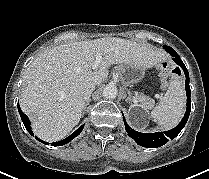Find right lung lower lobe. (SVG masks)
Instances as JSON below:
<instances>
[{
  "label": "right lung lower lobe",
  "instance_id": "98d812e1",
  "mask_svg": "<svg viewBox=\"0 0 209 179\" xmlns=\"http://www.w3.org/2000/svg\"><path fill=\"white\" fill-rule=\"evenodd\" d=\"M18 106V111H19V114H20V117L25 125V128L26 130L32 135L34 136L32 130H31V127H30V121H29V118L22 112L19 104L17 105ZM83 127L84 125H82L81 127H79L75 132H73L70 136H68L67 138H65L64 140H61V141H58V142H54V143H51L52 146H61V145H64V144H67L68 142H70L72 139H74L76 136H78L81 131L83 130ZM35 138L37 140H39L40 142H42L43 144H46V145H49V143L47 142H44L42 140H40L38 137L35 136Z\"/></svg>",
  "mask_w": 209,
  "mask_h": 179
}]
</instances>
